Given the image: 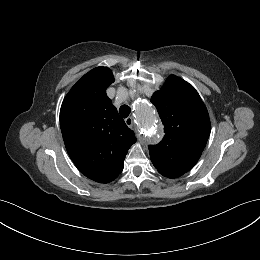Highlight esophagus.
Listing matches in <instances>:
<instances>
[{
	"instance_id": "esophagus-1",
	"label": "esophagus",
	"mask_w": 260,
	"mask_h": 260,
	"mask_svg": "<svg viewBox=\"0 0 260 260\" xmlns=\"http://www.w3.org/2000/svg\"><path fill=\"white\" fill-rule=\"evenodd\" d=\"M125 123L129 128H133L135 126L134 119L132 117L126 118Z\"/></svg>"
}]
</instances>
